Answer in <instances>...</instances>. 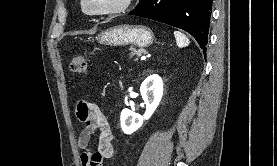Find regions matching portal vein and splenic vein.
I'll return each instance as SVG.
<instances>
[{
	"label": "portal vein and splenic vein",
	"mask_w": 277,
	"mask_h": 166,
	"mask_svg": "<svg viewBox=\"0 0 277 166\" xmlns=\"http://www.w3.org/2000/svg\"><path fill=\"white\" fill-rule=\"evenodd\" d=\"M146 59V56H141V60H145Z\"/></svg>",
	"instance_id": "obj_1"
}]
</instances>
